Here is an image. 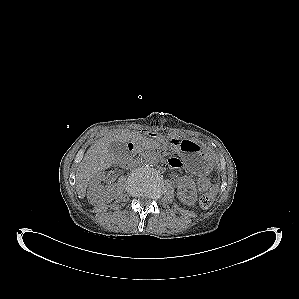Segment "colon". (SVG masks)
Listing matches in <instances>:
<instances>
[{
	"label": "colon",
	"mask_w": 299,
	"mask_h": 299,
	"mask_svg": "<svg viewBox=\"0 0 299 299\" xmlns=\"http://www.w3.org/2000/svg\"><path fill=\"white\" fill-rule=\"evenodd\" d=\"M198 186L202 189L205 190L206 192L201 195L199 199V203L201 207L203 208H208L212 205L213 200H214V192L211 190V182L207 177H201L198 180Z\"/></svg>",
	"instance_id": "colon-1"
}]
</instances>
